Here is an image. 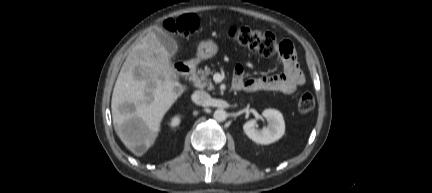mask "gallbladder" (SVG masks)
Wrapping results in <instances>:
<instances>
[{
    "mask_svg": "<svg viewBox=\"0 0 432 193\" xmlns=\"http://www.w3.org/2000/svg\"><path fill=\"white\" fill-rule=\"evenodd\" d=\"M155 34L158 40L161 42V44L168 52L169 58H174L178 51V44L176 40L163 29H157L155 31Z\"/></svg>",
    "mask_w": 432,
    "mask_h": 193,
    "instance_id": "gallbladder-1",
    "label": "gallbladder"
}]
</instances>
